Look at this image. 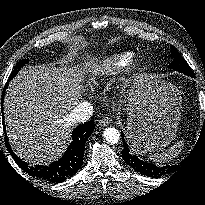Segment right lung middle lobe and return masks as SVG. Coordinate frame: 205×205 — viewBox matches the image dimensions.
<instances>
[{
    "label": "right lung middle lobe",
    "mask_w": 205,
    "mask_h": 205,
    "mask_svg": "<svg viewBox=\"0 0 205 205\" xmlns=\"http://www.w3.org/2000/svg\"><path fill=\"white\" fill-rule=\"evenodd\" d=\"M28 62H29V60H27V59L20 60V61L16 64V66H15L13 72L11 73V76H10V79H9V80H11L14 76H16V74L19 72L20 68H21L23 65H25L26 63H28Z\"/></svg>",
    "instance_id": "dd1d6c3e"
}]
</instances>
